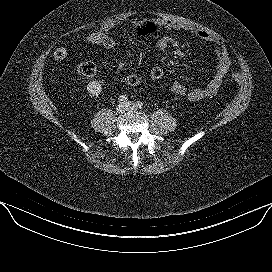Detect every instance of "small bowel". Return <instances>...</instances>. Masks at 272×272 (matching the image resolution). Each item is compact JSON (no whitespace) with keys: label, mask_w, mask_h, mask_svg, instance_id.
Listing matches in <instances>:
<instances>
[{"label":"small bowel","mask_w":272,"mask_h":272,"mask_svg":"<svg viewBox=\"0 0 272 272\" xmlns=\"http://www.w3.org/2000/svg\"><path fill=\"white\" fill-rule=\"evenodd\" d=\"M151 22L155 26L161 27L167 31L180 32L184 31L189 35L196 37L202 41L210 43L217 55V65L214 74L209 82L200 87L188 89L180 82H174L171 86V91L179 96H185L190 101H199L204 98L214 96L221 86L230 67V58L224 42L213 36L212 34L192 27L185 26L173 20L168 19H152V20H138L134 19L129 23L130 27H136L145 23ZM115 23H108L102 26L101 30L111 34L115 28ZM180 43L169 36H163L157 41V48L161 53L171 52L178 58L185 59L187 54L179 48Z\"/></svg>","instance_id":"obj_1"}]
</instances>
